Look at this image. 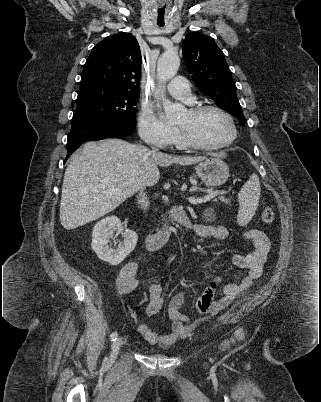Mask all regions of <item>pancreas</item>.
Segmentation results:
<instances>
[{"instance_id":"1","label":"pancreas","mask_w":321,"mask_h":402,"mask_svg":"<svg viewBox=\"0 0 321 402\" xmlns=\"http://www.w3.org/2000/svg\"><path fill=\"white\" fill-rule=\"evenodd\" d=\"M220 200H221L222 202L226 203V204H229V203H230V201H229L228 199L220 198Z\"/></svg>"}]
</instances>
